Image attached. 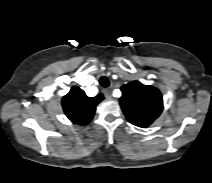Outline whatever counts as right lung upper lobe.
Here are the masks:
<instances>
[{
  "label": "right lung upper lobe",
  "instance_id": "cb5924a9",
  "mask_svg": "<svg viewBox=\"0 0 212 183\" xmlns=\"http://www.w3.org/2000/svg\"><path fill=\"white\" fill-rule=\"evenodd\" d=\"M103 100L101 94L87 97L79 87H72L62 99V106L66 116L74 123L85 125L89 123L95 113L97 104Z\"/></svg>",
  "mask_w": 212,
  "mask_h": 183
}]
</instances>
